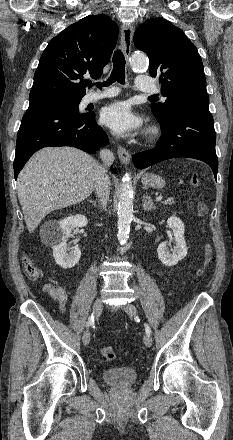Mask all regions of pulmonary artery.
I'll return each mask as SVG.
<instances>
[{
  "label": "pulmonary artery",
  "instance_id": "obj_1",
  "mask_svg": "<svg viewBox=\"0 0 233 440\" xmlns=\"http://www.w3.org/2000/svg\"><path fill=\"white\" fill-rule=\"evenodd\" d=\"M136 88L142 92H148V93H152L156 91L155 85L152 82L148 81V76L145 75L137 76ZM114 95H116L115 89L106 90L100 93H90L87 96V101L95 102L105 98L113 97Z\"/></svg>",
  "mask_w": 233,
  "mask_h": 440
}]
</instances>
